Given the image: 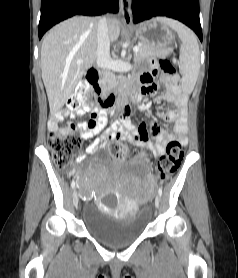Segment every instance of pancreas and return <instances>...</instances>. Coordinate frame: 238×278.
I'll return each mask as SVG.
<instances>
[{
    "instance_id": "1",
    "label": "pancreas",
    "mask_w": 238,
    "mask_h": 278,
    "mask_svg": "<svg viewBox=\"0 0 238 278\" xmlns=\"http://www.w3.org/2000/svg\"><path fill=\"white\" fill-rule=\"evenodd\" d=\"M171 52V49H159L151 45L144 43L139 44V51L134 56V61L138 62L147 57H165ZM103 85H107L109 89H112L118 84L117 77L112 72H107L104 79L102 80Z\"/></svg>"
}]
</instances>
